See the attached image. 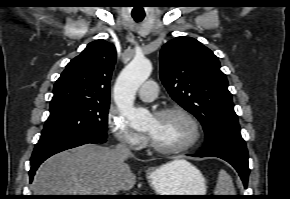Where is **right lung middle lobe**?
I'll return each instance as SVG.
<instances>
[{
	"mask_svg": "<svg viewBox=\"0 0 290 199\" xmlns=\"http://www.w3.org/2000/svg\"><path fill=\"white\" fill-rule=\"evenodd\" d=\"M109 103H77L50 109L39 143L81 135L107 137Z\"/></svg>",
	"mask_w": 290,
	"mask_h": 199,
	"instance_id": "dd1d6c3e",
	"label": "right lung middle lobe"
}]
</instances>
